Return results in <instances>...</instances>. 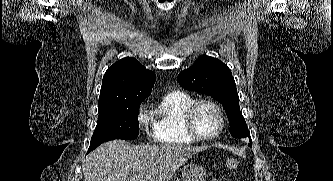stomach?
Returning a JSON list of instances; mask_svg holds the SVG:
<instances>
[{"mask_svg":"<svg viewBox=\"0 0 333 181\" xmlns=\"http://www.w3.org/2000/svg\"><path fill=\"white\" fill-rule=\"evenodd\" d=\"M182 176L184 181H205L207 172L203 166L190 163L182 168Z\"/></svg>","mask_w":333,"mask_h":181,"instance_id":"1","label":"stomach"}]
</instances>
